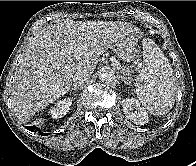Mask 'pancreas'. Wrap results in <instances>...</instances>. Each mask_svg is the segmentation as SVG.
Here are the masks:
<instances>
[{"label":"pancreas","mask_w":196,"mask_h":166,"mask_svg":"<svg viewBox=\"0 0 196 166\" xmlns=\"http://www.w3.org/2000/svg\"><path fill=\"white\" fill-rule=\"evenodd\" d=\"M121 71H122L128 78H130L131 74H130L129 68H126V69L122 68Z\"/></svg>","instance_id":"pancreas-1"}]
</instances>
